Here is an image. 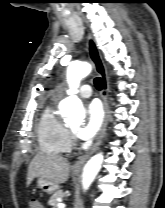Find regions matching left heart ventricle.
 <instances>
[{"mask_svg":"<svg viewBox=\"0 0 165 208\" xmlns=\"http://www.w3.org/2000/svg\"><path fill=\"white\" fill-rule=\"evenodd\" d=\"M71 128H72L73 130H75V129L77 128V125H73Z\"/></svg>","mask_w":165,"mask_h":208,"instance_id":"left-heart-ventricle-1","label":"left heart ventricle"}]
</instances>
